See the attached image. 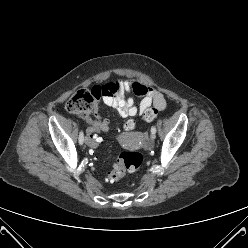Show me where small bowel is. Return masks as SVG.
Returning <instances> with one entry per match:
<instances>
[{
	"instance_id": "small-bowel-1",
	"label": "small bowel",
	"mask_w": 248,
	"mask_h": 248,
	"mask_svg": "<svg viewBox=\"0 0 248 248\" xmlns=\"http://www.w3.org/2000/svg\"><path fill=\"white\" fill-rule=\"evenodd\" d=\"M107 85H115L117 91L104 94L99 104L114 108L121 117L141 115L151 106L159 111L166 107V100L161 92L138 80L114 81ZM129 93L142 97L138 106L132 98L127 97ZM88 123L90 125L89 128H95L98 132L100 130L108 131L110 126L109 121L101 120L98 114L95 115L94 119H89Z\"/></svg>"
}]
</instances>
